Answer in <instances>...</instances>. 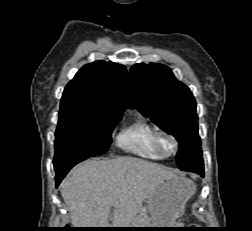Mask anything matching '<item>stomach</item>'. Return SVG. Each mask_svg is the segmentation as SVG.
I'll return each instance as SVG.
<instances>
[{
  "label": "stomach",
  "instance_id": "1",
  "mask_svg": "<svg viewBox=\"0 0 252 231\" xmlns=\"http://www.w3.org/2000/svg\"><path fill=\"white\" fill-rule=\"evenodd\" d=\"M195 191V184L189 179L175 175L163 180L148 197L150 220L144 219L134 228H177L176 219Z\"/></svg>",
  "mask_w": 252,
  "mask_h": 231
}]
</instances>
